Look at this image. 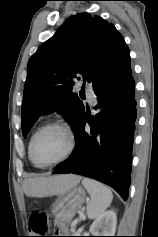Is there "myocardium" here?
Returning <instances> with one entry per match:
<instances>
[{
  "mask_svg": "<svg viewBox=\"0 0 158 237\" xmlns=\"http://www.w3.org/2000/svg\"><path fill=\"white\" fill-rule=\"evenodd\" d=\"M51 128H60L66 132L68 139H69L68 148H67L66 152L60 158H58L54 161H51V162L42 163L36 159L35 154H34L35 141L43 131H45L47 129H51ZM75 145H76L75 134H74L73 130L71 129V127L67 123H65L63 121L49 122V123L43 125L42 127H40L32 136L31 141H30V150H29L30 159H31L32 163L39 168L52 167V166H55V165L65 161L67 158H69L75 149Z\"/></svg>",
  "mask_w": 158,
  "mask_h": 237,
  "instance_id": "f54148a6",
  "label": "myocardium"
}]
</instances>
